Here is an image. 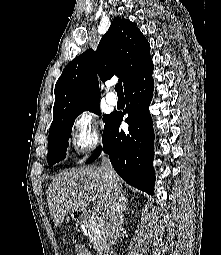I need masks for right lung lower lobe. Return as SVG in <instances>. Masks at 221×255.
Masks as SVG:
<instances>
[{
  "mask_svg": "<svg viewBox=\"0 0 221 255\" xmlns=\"http://www.w3.org/2000/svg\"><path fill=\"white\" fill-rule=\"evenodd\" d=\"M153 64L150 61L125 88L126 108L123 113H113L104 128L102 143L104 152L118 173L129 185L153 194L155 175L154 131L148 107L152 100L154 82ZM128 132L120 129L123 114ZM101 146L88 158L93 162L101 154Z\"/></svg>",
  "mask_w": 221,
  "mask_h": 255,
  "instance_id": "98d812e1",
  "label": "right lung lower lobe"
}]
</instances>
